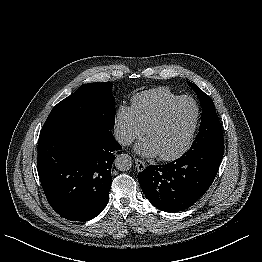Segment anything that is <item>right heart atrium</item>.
Segmentation results:
<instances>
[{"label":"right heart atrium","mask_w":262,"mask_h":262,"mask_svg":"<svg viewBox=\"0 0 262 262\" xmlns=\"http://www.w3.org/2000/svg\"><path fill=\"white\" fill-rule=\"evenodd\" d=\"M144 132L145 129L136 119L131 107L120 105L114 116V135L117 141L122 145H130Z\"/></svg>","instance_id":"obj_1"}]
</instances>
